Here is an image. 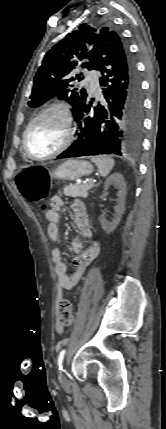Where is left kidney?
I'll use <instances>...</instances> for the list:
<instances>
[{
  "label": "left kidney",
  "mask_w": 166,
  "mask_h": 429,
  "mask_svg": "<svg viewBox=\"0 0 166 429\" xmlns=\"http://www.w3.org/2000/svg\"><path fill=\"white\" fill-rule=\"evenodd\" d=\"M111 185H114L119 189L118 196V205L115 206V215L112 222H108L104 215L100 216V223L103 230L107 233L113 232L118 226L122 214L125 211V196H126V183L121 173H114L109 176L105 182L104 189L108 190Z\"/></svg>",
  "instance_id": "1"
}]
</instances>
